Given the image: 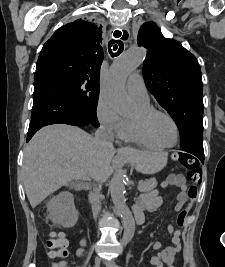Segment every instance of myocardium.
Wrapping results in <instances>:
<instances>
[{
  "label": "myocardium",
  "instance_id": "f54148a6",
  "mask_svg": "<svg viewBox=\"0 0 225 267\" xmlns=\"http://www.w3.org/2000/svg\"><path fill=\"white\" fill-rule=\"evenodd\" d=\"M157 115H162L167 117L168 119L171 120V122L173 123L174 127H175V131H176V139L172 144L169 145H163V144H159L153 137L152 132H151V121L152 119L157 116ZM138 118L140 120L141 126L145 132V134L147 135V137L155 144L157 145L159 148L161 149H166V148H172L174 146L177 145V143L180 140V129H179V125L176 121V119L169 114L166 111L160 110V109H155V108H151L147 111H143L138 113Z\"/></svg>",
  "mask_w": 225,
  "mask_h": 267
}]
</instances>
